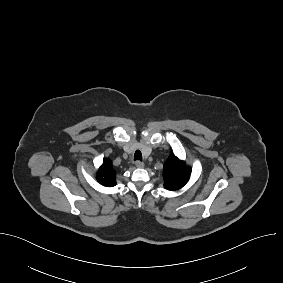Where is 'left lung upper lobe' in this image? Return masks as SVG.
<instances>
[{
  "instance_id": "5c2ea615",
  "label": "left lung upper lobe",
  "mask_w": 283,
  "mask_h": 283,
  "mask_svg": "<svg viewBox=\"0 0 283 283\" xmlns=\"http://www.w3.org/2000/svg\"><path fill=\"white\" fill-rule=\"evenodd\" d=\"M190 173L191 169L185 165L184 161L170 154L164 164V187L168 190L180 189L188 182Z\"/></svg>"
}]
</instances>
